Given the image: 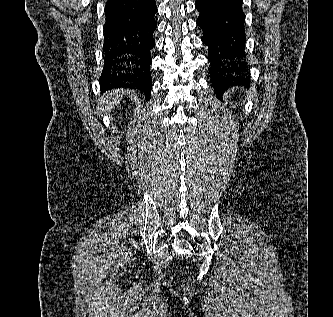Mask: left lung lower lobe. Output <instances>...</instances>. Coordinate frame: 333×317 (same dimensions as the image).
Wrapping results in <instances>:
<instances>
[{
	"label": "left lung lower lobe",
	"mask_w": 333,
	"mask_h": 317,
	"mask_svg": "<svg viewBox=\"0 0 333 317\" xmlns=\"http://www.w3.org/2000/svg\"><path fill=\"white\" fill-rule=\"evenodd\" d=\"M243 0H196L197 25L203 30L202 41L208 46L210 77L215 94L234 86L249 85L246 65L236 60L243 56L246 36Z\"/></svg>",
	"instance_id": "left-lung-lower-lobe-1"
}]
</instances>
